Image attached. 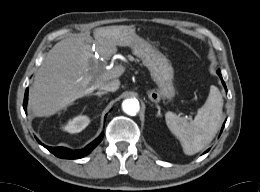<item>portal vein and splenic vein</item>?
Here are the masks:
<instances>
[{"label":"portal vein and splenic vein","instance_id":"18ae733b","mask_svg":"<svg viewBox=\"0 0 260 192\" xmlns=\"http://www.w3.org/2000/svg\"><path fill=\"white\" fill-rule=\"evenodd\" d=\"M125 71V68L121 65L114 67L113 69L108 71V76L110 77H119Z\"/></svg>","mask_w":260,"mask_h":192}]
</instances>
